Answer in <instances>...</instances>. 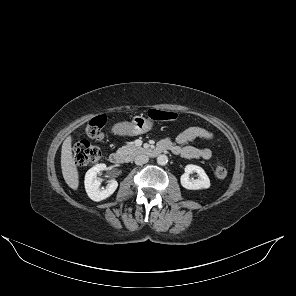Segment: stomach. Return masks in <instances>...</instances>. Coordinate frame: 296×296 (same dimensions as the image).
Segmentation results:
<instances>
[{"instance_id":"stomach-1","label":"stomach","mask_w":296,"mask_h":296,"mask_svg":"<svg viewBox=\"0 0 296 296\" xmlns=\"http://www.w3.org/2000/svg\"><path fill=\"white\" fill-rule=\"evenodd\" d=\"M153 122L143 116H135L131 122H120L115 125V130L120 135L136 136L150 131Z\"/></svg>"}]
</instances>
